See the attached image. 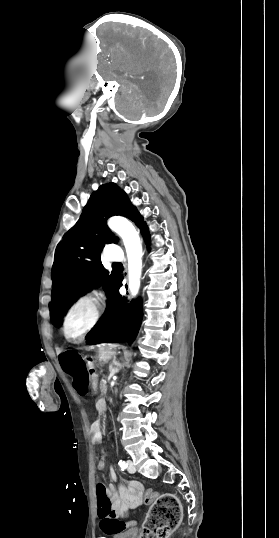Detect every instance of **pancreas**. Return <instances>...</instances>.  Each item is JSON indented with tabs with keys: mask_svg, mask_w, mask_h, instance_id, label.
Masks as SVG:
<instances>
[{
	"mask_svg": "<svg viewBox=\"0 0 279 538\" xmlns=\"http://www.w3.org/2000/svg\"><path fill=\"white\" fill-rule=\"evenodd\" d=\"M108 384H109V381H108L107 379L100 380V385H101L100 391H101V395H104V393L107 391Z\"/></svg>",
	"mask_w": 279,
	"mask_h": 538,
	"instance_id": "cf45deb5",
	"label": "pancreas"
}]
</instances>
